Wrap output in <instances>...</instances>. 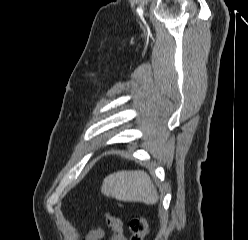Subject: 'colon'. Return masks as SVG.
Returning <instances> with one entry per match:
<instances>
[{
    "label": "colon",
    "mask_w": 248,
    "mask_h": 240,
    "mask_svg": "<svg viewBox=\"0 0 248 240\" xmlns=\"http://www.w3.org/2000/svg\"><path fill=\"white\" fill-rule=\"evenodd\" d=\"M149 230V225L146 219L136 218L130 223L131 239L144 240Z\"/></svg>",
    "instance_id": "5ec220e1"
}]
</instances>
